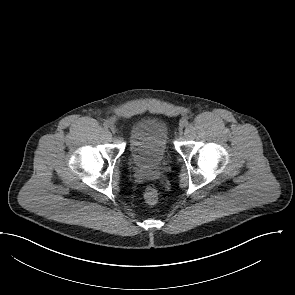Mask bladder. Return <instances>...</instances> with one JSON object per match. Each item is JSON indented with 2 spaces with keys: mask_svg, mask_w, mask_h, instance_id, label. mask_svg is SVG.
<instances>
[{
  "mask_svg": "<svg viewBox=\"0 0 295 295\" xmlns=\"http://www.w3.org/2000/svg\"><path fill=\"white\" fill-rule=\"evenodd\" d=\"M127 143L130 157L136 166H156L167 154L169 126L158 116L142 117L130 129Z\"/></svg>",
  "mask_w": 295,
  "mask_h": 295,
  "instance_id": "obj_1",
  "label": "bladder"
}]
</instances>
